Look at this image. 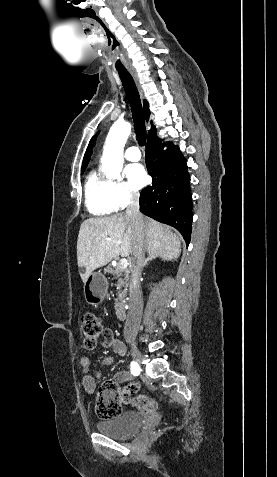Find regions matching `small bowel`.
Masks as SVG:
<instances>
[{
  "mask_svg": "<svg viewBox=\"0 0 277 477\" xmlns=\"http://www.w3.org/2000/svg\"><path fill=\"white\" fill-rule=\"evenodd\" d=\"M103 336H104L103 346L105 348H111L117 356L121 357L125 355V352H126L125 344L116 336H114L111 330L105 329L103 331ZM114 360L115 359L112 356L105 357L101 361V367L109 366L113 364ZM80 364L82 366V377H81L82 386L87 393L92 394L96 388L95 378L100 379L102 377V372L101 370H98L95 374V378L89 373L91 364H92V360L89 357H82L80 360ZM132 380H133V375L132 373L128 371L117 372L113 377V381L116 382L118 385L120 383H123L126 381H132ZM131 389L132 391H135L136 386L132 385Z\"/></svg>",
  "mask_w": 277,
  "mask_h": 477,
  "instance_id": "small-bowel-1",
  "label": "small bowel"
}]
</instances>
